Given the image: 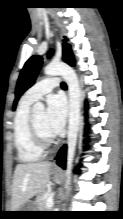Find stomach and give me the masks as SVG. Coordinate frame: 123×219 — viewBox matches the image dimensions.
Returning <instances> with one entry per match:
<instances>
[{
  "label": "stomach",
  "mask_w": 123,
  "mask_h": 219,
  "mask_svg": "<svg viewBox=\"0 0 123 219\" xmlns=\"http://www.w3.org/2000/svg\"><path fill=\"white\" fill-rule=\"evenodd\" d=\"M52 174L54 175V177L56 178V180H59V179H60V176H61V175H60V172H59V171L53 170V171H52ZM34 209H36L35 203L28 201V202H26V203L21 207V209L18 210V211H35ZM19 215L25 216V215H27V213L22 212V213L19 214Z\"/></svg>",
  "instance_id": "stomach-1"
}]
</instances>
